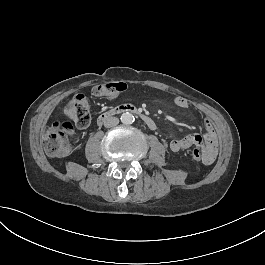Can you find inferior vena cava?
I'll return each instance as SVG.
<instances>
[{"label": "inferior vena cava", "mask_w": 265, "mask_h": 265, "mask_svg": "<svg viewBox=\"0 0 265 265\" xmlns=\"http://www.w3.org/2000/svg\"><path fill=\"white\" fill-rule=\"evenodd\" d=\"M119 124V119L117 117H107L104 121V126L106 128H111Z\"/></svg>", "instance_id": "inferior-vena-cava-1"}]
</instances>
